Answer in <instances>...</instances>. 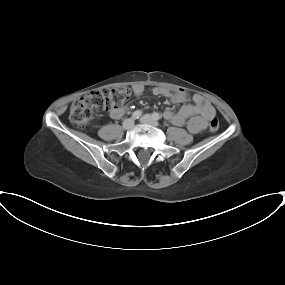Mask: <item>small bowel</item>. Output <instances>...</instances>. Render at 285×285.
Segmentation results:
<instances>
[{
    "label": "small bowel",
    "mask_w": 285,
    "mask_h": 285,
    "mask_svg": "<svg viewBox=\"0 0 285 285\" xmlns=\"http://www.w3.org/2000/svg\"><path fill=\"white\" fill-rule=\"evenodd\" d=\"M144 86L135 84L132 86V92L135 96H141L144 93ZM155 96H166L173 103H184L185 95L182 91H173L167 87L156 86L152 89ZM194 104H184L178 111L167 110L164 112V118L171 121L174 125L181 126L187 122V128L191 133H198L203 130L208 121L215 117L216 112L211 103L202 95L195 94ZM125 107L112 108L109 116L113 119H119L125 113Z\"/></svg>",
    "instance_id": "obj_1"
}]
</instances>
